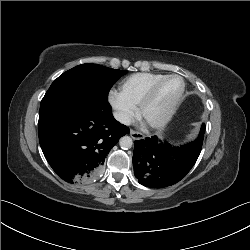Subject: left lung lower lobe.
<instances>
[{"mask_svg": "<svg viewBox=\"0 0 250 250\" xmlns=\"http://www.w3.org/2000/svg\"><path fill=\"white\" fill-rule=\"evenodd\" d=\"M205 125L198 138L181 147L162 143L156 136L134 141L133 167L138 182L163 188L180 181L194 166L203 143Z\"/></svg>", "mask_w": 250, "mask_h": 250, "instance_id": "0a47b994", "label": "left lung lower lobe"}]
</instances>
